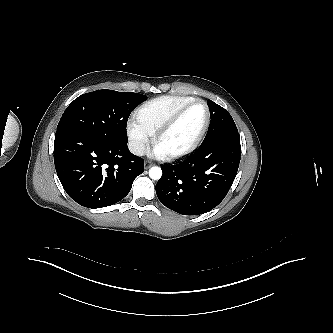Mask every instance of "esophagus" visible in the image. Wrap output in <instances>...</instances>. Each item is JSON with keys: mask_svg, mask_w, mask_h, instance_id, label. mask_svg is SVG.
<instances>
[{"mask_svg": "<svg viewBox=\"0 0 333 333\" xmlns=\"http://www.w3.org/2000/svg\"><path fill=\"white\" fill-rule=\"evenodd\" d=\"M144 166H145V169H149L150 167H152L153 166V164L151 163V162H145V164H144Z\"/></svg>", "mask_w": 333, "mask_h": 333, "instance_id": "obj_1", "label": "esophagus"}]
</instances>
